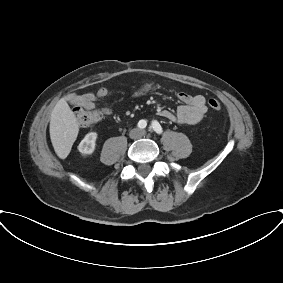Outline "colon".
<instances>
[{
  "mask_svg": "<svg viewBox=\"0 0 283 283\" xmlns=\"http://www.w3.org/2000/svg\"><path fill=\"white\" fill-rule=\"evenodd\" d=\"M208 106L213 111L221 109V104L216 98H210L208 100ZM75 116L78 123L83 127L91 126L99 120V114L85 106L78 107L76 109Z\"/></svg>",
  "mask_w": 283,
  "mask_h": 283,
  "instance_id": "colon-1",
  "label": "colon"
}]
</instances>
